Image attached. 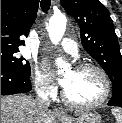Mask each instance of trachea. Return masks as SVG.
<instances>
[{"label":"trachea","instance_id":"3493384b","mask_svg":"<svg viewBox=\"0 0 122 123\" xmlns=\"http://www.w3.org/2000/svg\"><path fill=\"white\" fill-rule=\"evenodd\" d=\"M41 9L43 12H47L50 9L51 0H41Z\"/></svg>","mask_w":122,"mask_h":123}]
</instances>
